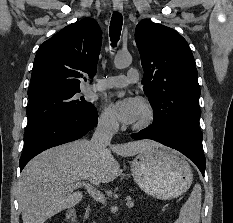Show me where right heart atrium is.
<instances>
[{"instance_id":"right-heart-atrium-1","label":"right heart atrium","mask_w":233,"mask_h":223,"mask_svg":"<svg viewBox=\"0 0 233 223\" xmlns=\"http://www.w3.org/2000/svg\"><path fill=\"white\" fill-rule=\"evenodd\" d=\"M98 127L103 131L114 133L118 130L119 125L110 111L104 109L98 118Z\"/></svg>"}]
</instances>
